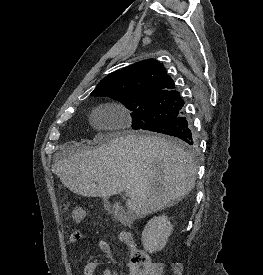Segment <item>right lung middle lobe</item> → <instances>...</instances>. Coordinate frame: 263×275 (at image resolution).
<instances>
[{"label": "right lung middle lobe", "mask_w": 263, "mask_h": 275, "mask_svg": "<svg viewBox=\"0 0 263 275\" xmlns=\"http://www.w3.org/2000/svg\"><path fill=\"white\" fill-rule=\"evenodd\" d=\"M92 96H111L131 111L132 128L152 131L183 114L184 101L178 95L138 96L123 90H104ZM181 146L194 149L192 146Z\"/></svg>", "instance_id": "obj_1"}]
</instances>
